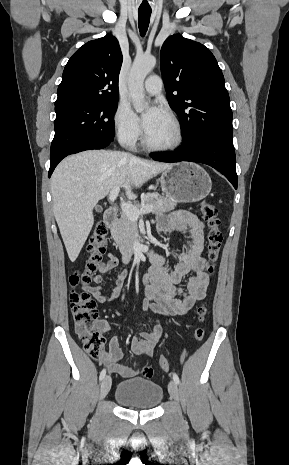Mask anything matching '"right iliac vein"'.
Segmentation results:
<instances>
[{"label": "right iliac vein", "instance_id": "1", "mask_svg": "<svg viewBox=\"0 0 289 465\" xmlns=\"http://www.w3.org/2000/svg\"><path fill=\"white\" fill-rule=\"evenodd\" d=\"M111 383H112V380H111L110 376H106L102 380L101 386H100V398L101 399L105 398L106 395L108 394V392H109V390L111 388Z\"/></svg>", "mask_w": 289, "mask_h": 465}]
</instances>
